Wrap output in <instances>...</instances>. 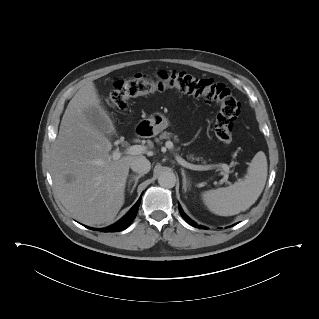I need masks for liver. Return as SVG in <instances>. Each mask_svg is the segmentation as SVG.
I'll return each mask as SVG.
<instances>
[{"label":"liver","instance_id":"1","mask_svg":"<svg viewBox=\"0 0 319 319\" xmlns=\"http://www.w3.org/2000/svg\"><path fill=\"white\" fill-rule=\"evenodd\" d=\"M91 108H97L111 132L115 131L94 83H87L70 100L62 117L51 152V174L63 206L80 222L100 225L112 222L123 206L130 164L141 156L114 160L111 142L86 115Z\"/></svg>","mask_w":319,"mask_h":319}]
</instances>
